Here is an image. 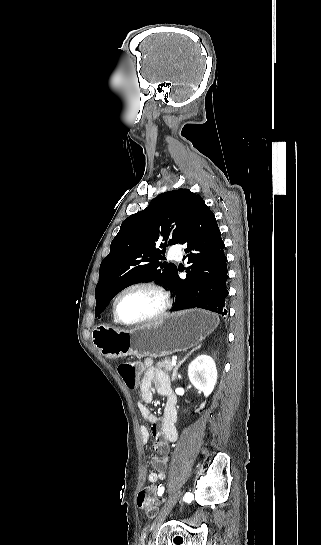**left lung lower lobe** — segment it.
<instances>
[{"label":"left lung lower lobe","instance_id":"obj_1","mask_svg":"<svg viewBox=\"0 0 321 545\" xmlns=\"http://www.w3.org/2000/svg\"><path fill=\"white\" fill-rule=\"evenodd\" d=\"M179 244L187 245L184 259L191 265L185 279L176 271L169 284L176 295L171 311L203 308L226 315L229 276L225 245L215 216L205 203L197 206Z\"/></svg>","mask_w":321,"mask_h":545}]
</instances>
